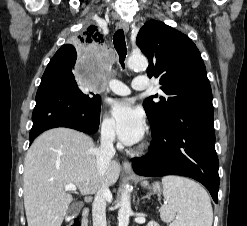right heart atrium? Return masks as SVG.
<instances>
[{"label": "right heart atrium", "mask_w": 247, "mask_h": 226, "mask_svg": "<svg viewBox=\"0 0 247 226\" xmlns=\"http://www.w3.org/2000/svg\"><path fill=\"white\" fill-rule=\"evenodd\" d=\"M100 133L101 137L108 142L115 139V129L112 120L104 115L100 122Z\"/></svg>", "instance_id": "right-heart-atrium-1"}]
</instances>
